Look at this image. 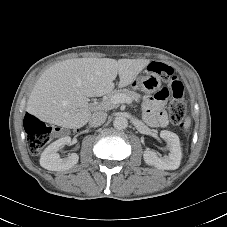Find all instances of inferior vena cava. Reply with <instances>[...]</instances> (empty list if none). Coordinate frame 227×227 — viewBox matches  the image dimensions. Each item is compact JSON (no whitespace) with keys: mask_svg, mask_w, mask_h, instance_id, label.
Segmentation results:
<instances>
[{"mask_svg":"<svg viewBox=\"0 0 227 227\" xmlns=\"http://www.w3.org/2000/svg\"><path fill=\"white\" fill-rule=\"evenodd\" d=\"M107 119V114L105 112H95L89 119L90 127H98L101 126Z\"/></svg>","mask_w":227,"mask_h":227,"instance_id":"inferior-vena-cava-1","label":"inferior vena cava"}]
</instances>
